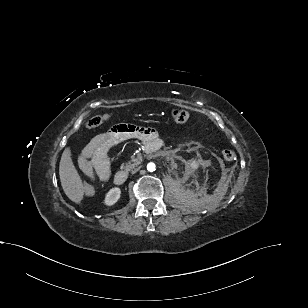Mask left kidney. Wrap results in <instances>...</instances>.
<instances>
[{
  "label": "left kidney",
  "instance_id": "5707ae66",
  "mask_svg": "<svg viewBox=\"0 0 308 308\" xmlns=\"http://www.w3.org/2000/svg\"><path fill=\"white\" fill-rule=\"evenodd\" d=\"M198 167H199V163L198 162L193 161V162L190 163V168L192 170H196V169H198Z\"/></svg>",
  "mask_w": 308,
  "mask_h": 308
}]
</instances>
